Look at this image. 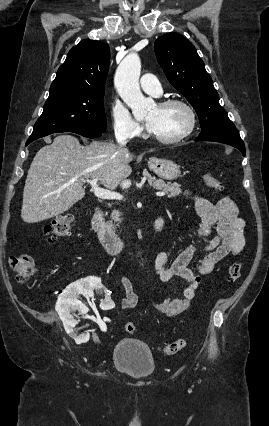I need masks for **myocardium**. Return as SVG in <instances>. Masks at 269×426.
<instances>
[{"label": "myocardium", "mask_w": 269, "mask_h": 426, "mask_svg": "<svg viewBox=\"0 0 269 426\" xmlns=\"http://www.w3.org/2000/svg\"><path fill=\"white\" fill-rule=\"evenodd\" d=\"M159 107H167V106H172V105H179L181 107H183L188 115H189V125L186 128L185 131H183L181 134H179L178 136L172 137V138H162L159 137L157 135H154L148 128V136L161 144H167V145H172V144H177L182 142L183 140H185L186 138H188L195 130L196 125H197V115L195 110L193 109V107L186 101L182 100V99H177V98H170V99H165L160 101L157 104Z\"/></svg>", "instance_id": "obj_1"}]
</instances>
